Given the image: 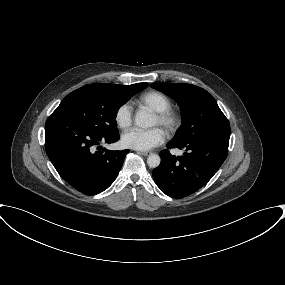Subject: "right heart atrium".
I'll return each instance as SVG.
<instances>
[{"mask_svg": "<svg viewBox=\"0 0 285 285\" xmlns=\"http://www.w3.org/2000/svg\"><path fill=\"white\" fill-rule=\"evenodd\" d=\"M116 124L122 128H128L133 121V109L130 103L125 102L118 107L115 113Z\"/></svg>", "mask_w": 285, "mask_h": 285, "instance_id": "right-heart-atrium-1", "label": "right heart atrium"}]
</instances>
